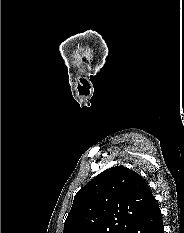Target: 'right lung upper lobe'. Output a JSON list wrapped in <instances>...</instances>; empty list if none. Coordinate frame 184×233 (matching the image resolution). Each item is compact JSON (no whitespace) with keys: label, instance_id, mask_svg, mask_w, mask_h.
I'll return each mask as SVG.
<instances>
[{"label":"right lung upper lobe","instance_id":"cb5924a9","mask_svg":"<svg viewBox=\"0 0 184 233\" xmlns=\"http://www.w3.org/2000/svg\"><path fill=\"white\" fill-rule=\"evenodd\" d=\"M155 205L138 173L123 166L111 167L77 192L63 233H126Z\"/></svg>","mask_w":184,"mask_h":233}]
</instances>
